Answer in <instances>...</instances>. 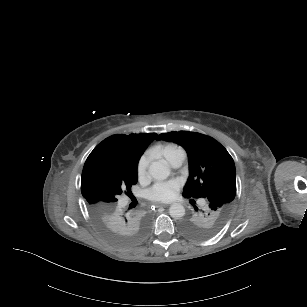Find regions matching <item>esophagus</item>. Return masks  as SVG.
I'll return each mask as SVG.
<instances>
[{
	"mask_svg": "<svg viewBox=\"0 0 307 307\" xmlns=\"http://www.w3.org/2000/svg\"><path fill=\"white\" fill-rule=\"evenodd\" d=\"M153 206H154L155 208H160V207H163L164 205L154 203Z\"/></svg>",
	"mask_w": 307,
	"mask_h": 307,
	"instance_id": "34e87169",
	"label": "esophagus"
}]
</instances>
